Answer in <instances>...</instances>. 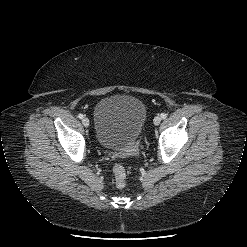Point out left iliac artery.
Listing matches in <instances>:
<instances>
[{
  "label": "left iliac artery",
  "instance_id": "44dca946",
  "mask_svg": "<svg viewBox=\"0 0 247 247\" xmlns=\"http://www.w3.org/2000/svg\"><path fill=\"white\" fill-rule=\"evenodd\" d=\"M160 116H161L162 119L166 118V114L165 113H161Z\"/></svg>",
  "mask_w": 247,
  "mask_h": 247
}]
</instances>
